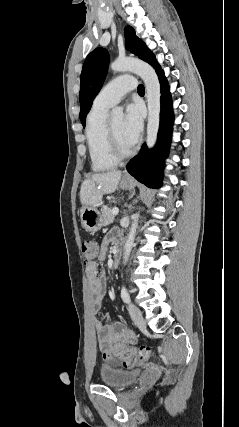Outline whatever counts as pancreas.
Wrapping results in <instances>:
<instances>
[{
  "instance_id": "pancreas-1",
  "label": "pancreas",
  "mask_w": 239,
  "mask_h": 427,
  "mask_svg": "<svg viewBox=\"0 0 239 427\" xmlns=\"http://www.w3.org/2000/svg\"><path fill=\"white\" fill-rule=\"evenodd\" d=\"M103 216V225H109L114 221L115 215L112 214V210L110 208H104L102 211Z\"/></svg>"
}]
</instances>
